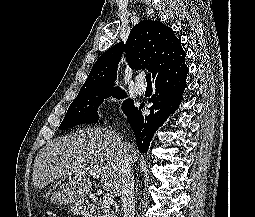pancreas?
Listing matches in <instances>:
<instances>
[{
	"mask_svg": "<svg viewBox=\"0 0 255 217\" xmlns=\"http://www.w3.org/2000/svg\"><path fill=\"white\" fill-rule=\"evenodd\" d=\"M94 215H97L98 217H116L114 215V212L111 211L110 208L106 207L105 205L96 207L94 211Z\"/></svg>",
	"mask_w": 255,
	"mask_h": 217,
	"instance_id": "pancreas-1",
	"label": "pancreas"
}]
</instances>
